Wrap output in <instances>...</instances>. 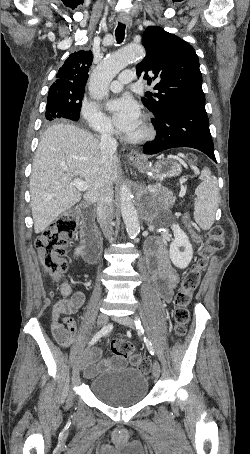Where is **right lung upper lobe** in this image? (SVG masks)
Instances as JSON below:
<instances>
[{
	"instance_id": "right-lung-upper-lobe-1",
	"label": "right lung upper lobe",
	"mask_w": 250,
	"mask_h": 454,
	"mask_svg": "<svg viewBox=\"0 0 250 454\" xmlns=\"http://www.w3.org/2000/svg\"><path fill=\"white\" fill-rule=\"evenodd\" d=\"M92 60L91 51L82 50L72 53L59 69L57 80L51 85L49 93L75 96L84 92Z\"/></svg>"
}]
</instances>
